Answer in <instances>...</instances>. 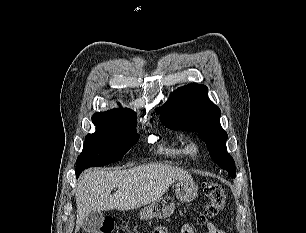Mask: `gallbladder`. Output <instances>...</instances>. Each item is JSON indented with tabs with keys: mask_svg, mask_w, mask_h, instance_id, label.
I'll use <instances>...</instances> for the list:
<instances>
[{
	"mask_svg": "<svg viewBox=\"0 0 306 233\" xmlns=\"http://www.w3.org/2000/svg\"><path fill=\"white\" fill-rule=\"evenodd\" d=\"M103 221L104 214L101 211H92L84 218L83 230L86 233H96L101 228Z\"/></svg>",
	"mask_w": 306,
	"mask_h": 233,
	"instance_id": "bac80fb5",
	"label": "gallbladder"
}]
</instances>
